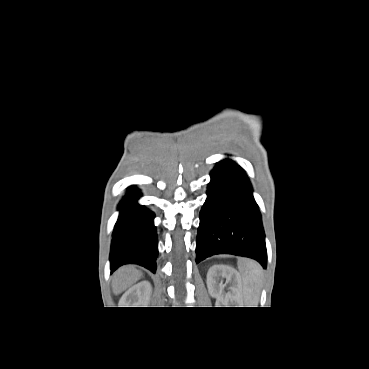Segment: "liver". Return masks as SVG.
Listing matches in <instances>:
<instances>
[{
	"label": "liver",
	"instance_id": "liver-1",
	"mask_svg": "<svg viewBox=\"0 0 369 369\" xmlns=\"http://www.w3.org/2000/svg\"><path fill=\"white\" fill-rule=\"evenodd\" d=\"M142 277V272L133 266L120 268L112 281V290L114 294H120Z\"/></svg>",
	"mask_w": 369,
	"mask_h": 369
}]
</instances>
